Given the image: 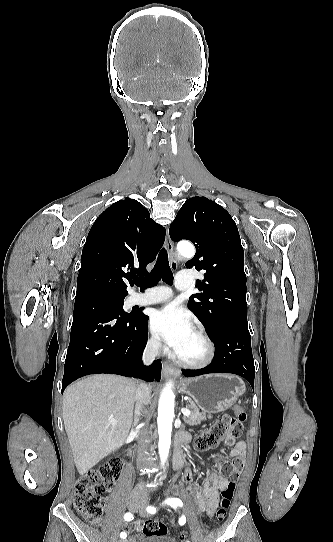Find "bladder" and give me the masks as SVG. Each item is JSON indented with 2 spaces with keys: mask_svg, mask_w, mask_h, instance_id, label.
I'll use <instances>...</instances> for the list:
<instances>
[{
  "mask_svg": "<svg viewBox=\"0 0 333 542\" xmlns=\"http://www.w3.org/2000/svg\"><path fill=\"white\" fill-rule=\"evenodd\" d=\"M142 542H178L170 535L150 534L144 538Z\"/></svg>",
  "mask_w": 333,
  "mask_h": 542,
  "instance_id": "1",
  "label": "bladder"
}]
</instances>
